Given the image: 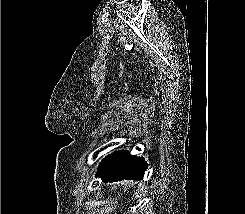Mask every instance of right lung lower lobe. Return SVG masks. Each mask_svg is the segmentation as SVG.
Returning <instances> with one entry per match:
<instances>
[{"label":"right lung lower lobe","mask_w":245,"mask_h":214,"mask_svg":"<svg viewBox=\"0 0 245 214\" xmlns=\"http://www.w3.org/2000/svg\"><path fill=\"white\" fill-rule=\"evenodd\" d=\"M120 158L118 161V167L111 172L103 173L100 178L107 182H115L121 180H139L142 179L146 168L147 162L143 157H137L130 155L127 151H119Z\"/></svg>","instance_id":"1"}]
</instances>
